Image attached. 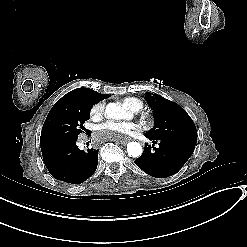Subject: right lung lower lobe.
Listing matches in <instances>:
<instances>
[{
    "label": "right lung lower lobe",
    "instance_id": "right-lung-lower-lobe-1",
    "mask_svg": "<svg viewBox=\"0 0 247 247\" xmlns=\"http://www.w3.org/2000/svg\"><path fill=\"white\" fill-rule=\"evenodd\" d=\"M76 141L41 148L44 164L55 179L80 184L96 171L98 150L86 153L79 150Z\"/></svg>",
    "mask_w": 247,
    "mask_h": 247
}]
</instances>
